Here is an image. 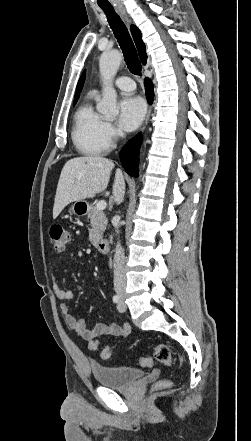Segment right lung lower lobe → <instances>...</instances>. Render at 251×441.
<instances>
[{
	"label": "right lung lower lobe",
	"instance_id": "1",
	"mask_svg": "<svg viewBox=\"0 0 251 441\" xmlns=\"http://www.w3.org/2000/svg\"><path fill=\"white\" fill-rule=\"evenodd\" d=\"M146 97L149 103H152L154 98L153 84L149 78L144 81ZM142 141V135L139 133L133 137L120 151V160L125 171L131 175L137 177L138 170L137 165L139 162V149Z\"/></svg>",
	"mask_w": 251,
	"mask_h": 441
}]
</instances>
